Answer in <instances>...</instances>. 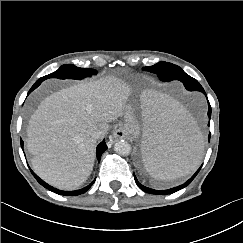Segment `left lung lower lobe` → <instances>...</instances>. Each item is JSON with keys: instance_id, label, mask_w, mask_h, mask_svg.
I'll list each match as a JSON object with an SVG mask.
<instances>
[{"instance_id": "0a47b994", "label": "left lung lower lobe", "mask_w": 243, "mask_h": 243, "mask_svg": "<svg viewBox=\"0 0 243 243\" xmlns=\"http://www.w3.org/2000/svg\"><path fill=\"white\" fill-rule=\"evenodd\" d=\"M186 87L187 90L189 91H200L202 93L205 94V96L207 97L203 87L199 84V83H193V84H185L184 85ZM208 104H209V101H208ZM208 117H209V120H210V117H211V106L209 104V109H208ZM209 125V124H208ZM209 140H210V134H209ZM201 167L197 170V172L188 180L186 181L184 184L180 185V186H177V187H174V188H171V189H168V190H154V189H151V188H148V187H145L143 185H141L138 180L136 179V177L134 176L135 178V182L136 184L140 187V189H142L144 192L146 193H149V194H157V195H167V194H171V193H174V192H177L181 189H183L184 187L188 186L191 181L195 178V176L198 174V172L200 171Z\"/></svg>"}]
</instances>
